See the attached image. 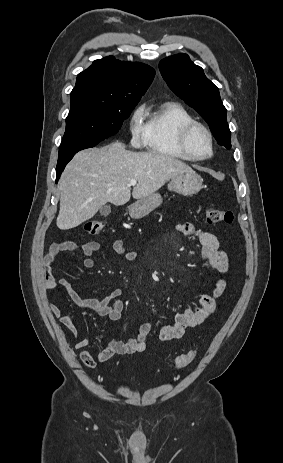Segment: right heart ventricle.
<instances>
[{"instance_id":"1","label":"right heart ventricle","mask_w":283,"mask_h":463,"mask_svg":"<svg viewBox=\"0 0 283 463\" xmlns=\"http://www.w3.org/2000/svg\"><path fill=\"white\" fill-rule=\"evenodd\" d=\"M194 121L181 104L168 101L146 110L143 143L152 153L168 158L191 160L179 146L181 129Z\"/></svg>"}]
</instances>
